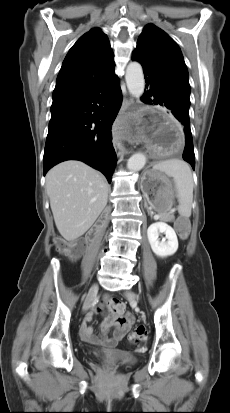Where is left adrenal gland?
<instances>
[{"label":"left adrenal gland","instance_id":"left-adrenal-gland-1","mask_svg":"<svg viewBox=\"0 0 230 413\" xmlns=\"http://www.w3.org/2000/svg\"><path fill=\"white\" fill-rule=\"evenodd\" d=\"M145 207H147L146 203H145ZM148 214L152 216V213L149 210H148Z\"/></svg>","mask_w":230,"mask_h":413}]
</instances>
